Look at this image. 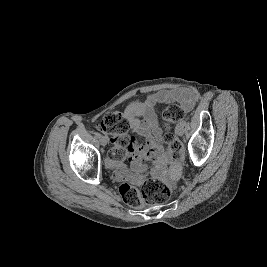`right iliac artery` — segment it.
<instances>
[{
  "label": "right iliac artery",
  "mask_w": 267,
  "mask_h": 267,
  "mask_svg": "<svg viewBox=\"0 0 267 267\" xmlns=\"http://www.w3.org/2000/svg\"><path fill=\"white\" fill-rule=\"evenodd\" d=\"M95 136H96L97 138H100V137H101V135H100L99 133H95Z\"/></svg>",
  "instance_id": "82829eb1"
}]
</instances>
